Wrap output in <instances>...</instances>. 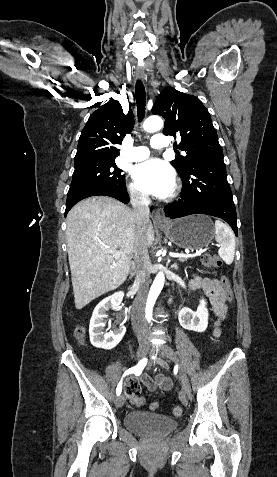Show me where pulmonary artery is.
Here are the masks:
<instances>
[{
    "mask_svg": "<svg viewBox=\"0 0 277 477\" xmlns=\"http://www.w3.org/2000/svg\"><path fill=\"white\" fill-rule=\"evenodd\" d=\"M151 146L154 148H164L168 146V142L164 135L156 134L151 139ZM148 157L149 149L145 146L134 147L130 155L132 161H141Z\"/></svg>",
    "mask_w": 277,
    "mask_h": 477,
    "instance_id": "pulmonary-artery-1",
    "label": "pulmonary artery"
}]
</instances>
